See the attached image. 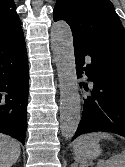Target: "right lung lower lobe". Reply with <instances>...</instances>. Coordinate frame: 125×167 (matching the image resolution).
I'll return each instance as SVG.
<instances>
[{
  "label": "right lung lower lobe",
  "mask_w": 125,
  "mask_h": 167,
  "mask_svg": "<svg viewBox=\"0 0 125 167\" xmlns=\"http://www.w3.org/2000/svg\"><path fill=\"white\" fill-rule=\"evenodd\" d=\"M28 83L23 32L0 38V132L23 144L27 129Z\"/></svg>",
  "instance_id": "1"
}]
</instances>
